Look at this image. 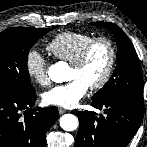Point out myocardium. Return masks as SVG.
<instances>
[{
    "instance_id": "obj_1",
    "label": "myocardium",
    "mask_w": 147,
    "mask_h": 147,
    "mask_svg": "<svg viewBox=\"0 0 147 147\" xmlns=\"http://www.w3.org/2000/svg\"><path fill=\"white\" fill-rule=\"evenodd\" d=\"M99 43H105L108 46L110 57H109V63L104 75L101 77L99 81H97L96 83L90 86L92 90L102 89L110 81L114 73L116 61H117V49L113 40L107 36L94 37L90 42H88L85 45V47L82 49L78 57L70 64L74 68L83 67L91 51Z\"/></svg>"
}]
</instances>
